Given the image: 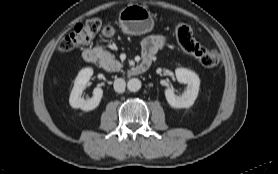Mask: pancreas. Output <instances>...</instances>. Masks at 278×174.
<instances>
[{
	"instance_id": "pancreas-1",
	"label": "pancreas",
	"mask_w": 278,
	"mask_h": 174,
	"mask_svg": "<svg viewBox=\"0 0 278 174\" xmlns=\"http://www.w3.org/2000/svg\"><path fill=\"white\" fill-rule=\"evenodd\" d=\"M100 65L106 71H120L123 64L115 59L109 51L102 50L100 53Z\"/></svg>"
}]
</instances>
